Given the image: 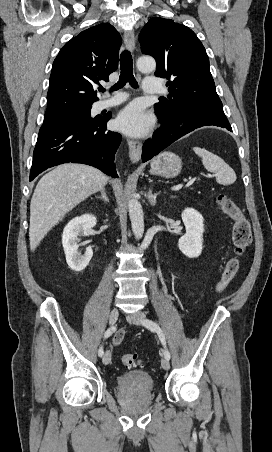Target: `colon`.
Returning a JSON list of instances; mask_svg holds the SVG:
<instances>
[{"label":"colon","instance_id":"5ec220e1","mask_svg":"<svg viewBox=\"0 0 272 452\" xmlns=\"http://www.w3.org/2000/svg\"><path fill=\"white\" fill-rule=\"evenodd\" d=\"M217 202L222 212L233 221L232 241L234 245L233 255L227 261L215 287V292L220 294L229 287L240 269L241 258L251 242V230L248 219L233 200L224 194H219ZM121 362L126 367H133L139 363V360L136 354L127 353L121 356Z\"/></svg>","mask_w":272,"mask_h":452}]
</instances>
